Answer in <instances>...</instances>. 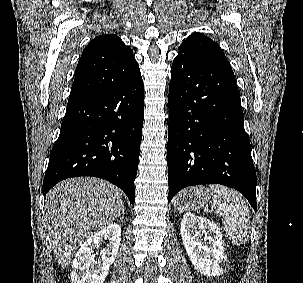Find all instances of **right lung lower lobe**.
<instances>
[{
    "mask_svg": "<svg viewBox=\"0 0 303 283\" xmlns=\"http://www.w3.org/2000/svg\"><path fill=\"white\" fill-rule=\"evenodd\" d=\"M143 115L141 76L119 89L68 104L43 192L66 178L94 176L121 188L134 205Z\"/></svg>",
    "mask_w": 303,
    "mask_h": 283,
    "instance_id": "obj_1",
    "label": "right lung lower lobe"
}]
</instances>
